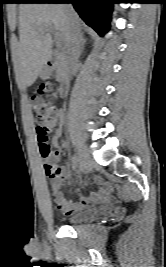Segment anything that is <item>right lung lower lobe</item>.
Instances as JSON below:
<instances>
[{
    "label": "right lung lower lobe",
    "instance_id": "obj_1",
    "mask_svg": "<svg viewBox=\"0 0 166 267\" xmlns=\"http://www.w3.org/2000/svg\"><path fill=\"white\" fill-rule=\"evenodd\" d=\"M112 0H29L20 3H72L87 25L103 36L109 30Z\"/></svg>",
    "mask_w": 166,
    "mask_h": 267
}]
</instances>
